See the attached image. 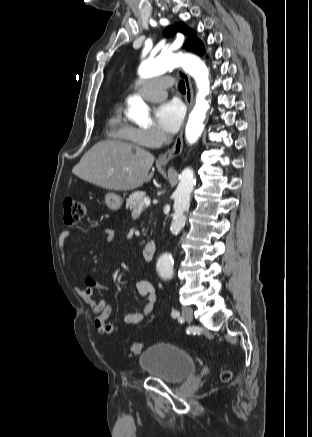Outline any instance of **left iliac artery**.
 Returning <instances> with one entry per match:
<instances>
[{
  "label": "left iliac artery",
  "mask_w": 312,
  "mask_h": 437,
  "mask_svg": "<svg viewBox=\"0 0 312 437\" xmlns=\"http://www.w3.org/2000/svg\"><path fill=\"white\" fill-rule=\"evenodd\" d=\"M179 312L177 311V310H173L172 312H171V316L173 317V318H177V317H179Z\"/></svg>",
  "instance_id": "left-iliac-artery-1"
}]
</instances>
